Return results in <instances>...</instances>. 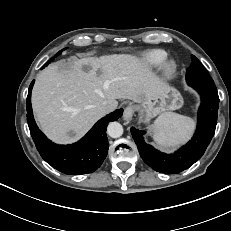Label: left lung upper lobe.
<instances>
[{"mask_svg": "<svg viewBox=\"0 0 231 231\" xmlns=\"http://www.w3.org/2000/svg\"><path fill=\"white\" fill-rule=\"evenodd\" d=\"M191 61L192 63L186 71V81L188 85L217 90L207 70L194 55H192Z\"/></svg>", "mask_w": 231, "mask_h": 231, "instance_id": "obj_1", "label": "left lung upper lobe"}]
</instances>
